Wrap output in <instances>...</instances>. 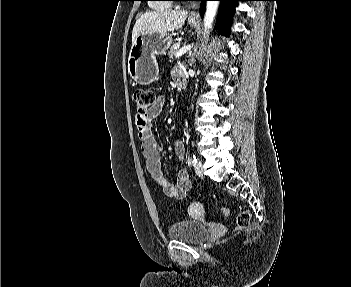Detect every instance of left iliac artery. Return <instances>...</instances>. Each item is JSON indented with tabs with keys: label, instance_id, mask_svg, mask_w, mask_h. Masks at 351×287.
<instances>
[{
	"label": "left iliac artery",
	"instance_id": "left-iliac-artery-1",
	"mask_svg": "<svg viewBox=\"0 0 351 287\" xmlns=\"http://www.w3.org/2000/svg\"><path fill=\"white\" fill-rule=\"evenodd\" d=\"M196 162H197V159H196L195 155H193V156L191 157V163H192L193 165H195Z\"/></svg>",
	"mask_w": 351,
	"mask_h": 287
}]
</instances>
